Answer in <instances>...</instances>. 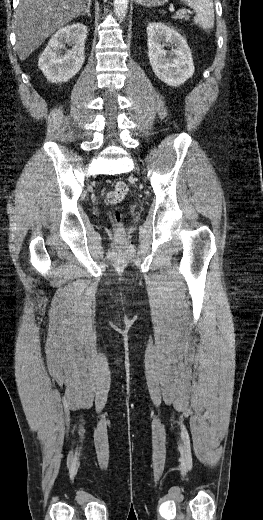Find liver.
Returning a JSON list of instances; mask_svg holds the SVG:
<instances>
[{
    "label": "liver",
    "mask_w": 263,
    "mask_h": 520,
    "mask_svg": "<svg viewBox=\"0 0 263 520\" xmlns=\"http://www.w3.org/2000/svg\"><path fill=\"white\" fill-rule=\"evenodd\" d=\"M91 0H20L16 9V49L25 60L47 37L83 15Z\"/></svg>",
    "instance_id": "1"
}]
</instances>
